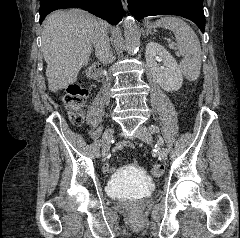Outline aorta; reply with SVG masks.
Returning a JSON list of instances; mask_svg holds the SVG:
<instances>
[{
	"mask_svg": "<svg viewBox=\"0 0 240 238\" xmlns=\"http://www.w3.org/2000/svg\"><path fill=\"white\" fill-rule=\"evenodd\" d=\"M124 36L127 52L129 54L136 53L140 46V33L132 17L124 19Z\"/></svg>",
	"mask_w": 240,
	"mask_h": 238,
	"instance_id": "obj_1",
	"label": "aorta"
}]
</instances>
